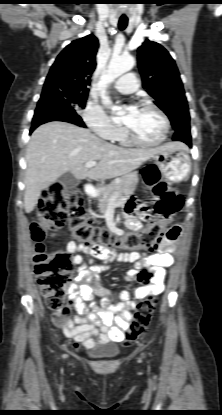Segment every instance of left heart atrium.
Masks as SVG:
<instances>
[{
	"mask_svg": "<svg viewBox=\"0 0 222 415\" xmlns=\"http://www.w3.org/2000/svg\"><path fill=\"white\" fill-rule=\"evenodd\" d=\"M135 111H136V107H134V106H129V107H128V112H129L130 114L135 113Z\"/></svg>",
	"mask_w": 222,
	"mask_h": 415,
	"instance_id": "39dd6f15",
	"label": "left heart atrium"
}]
</instances>
